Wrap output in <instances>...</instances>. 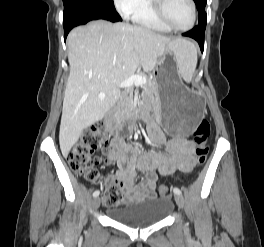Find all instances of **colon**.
<instances>
[{"label": "colon", "instance_id": "colon-1", "mask_svg": "<svg viewBox=\"0 0 264 247\" xmlns=\"http://www.w3.org/2000/svg\"><path fill=\"white\" fill-rule=\"evenodd\" d=\"M210 131V123L203 119L199 122L194 132L195 154L199 165H202L206 161L208 155ZM105 140L106 134L102 128H97L93 132L83 134L67 156L70 169L88 181H101L102 176L97 169L99 159L95 156L101 152ZM157 192L161 197H167L169 195V188L165 185H160L157 188ZM104 203L111 207L121 203L120 189L113 181L107 182Z\"/></svg>", "mask_w": 264, "mask_h": 247}]
</instances>
